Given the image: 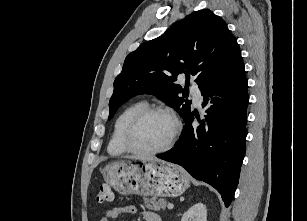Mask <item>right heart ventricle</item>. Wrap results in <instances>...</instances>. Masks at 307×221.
<instances>
[{"instance_id": "obj_1", "label": "right heart ventricle", "mask_w": 307, "mask_h": 221, "mask_svg": "<svg viewBox=\"0 0 307 221\" xmlns=\"http://www.w3.org/2000/svg\"><path fill=\"white\" fill-rule=\"evenodd\" d=\"M147 107L145 101H136L127 107H125L120 114L117 116L114 125L112 134L108 143V152L111 155L118 156L125 154L127 152L126 148L122 142V136L124 129L128 121L141 109Z\"/></svg>"}]
</instances>
